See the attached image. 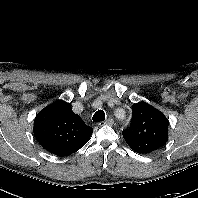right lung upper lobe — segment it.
Returning a JSON list of instances; mask_svg holds the SVG:
<instances>
[{
	"instance_id": "cb5924a9",
	"label": "right lung upper lobe",
	"mask_w": 198,
	"mask_h": 198,
	"mask_svg": "<svg viewBox=\"0 0 198 198\" xmlns=\"http://www.w3.org/2000/svg\"><path fill=\"white\" fill-rule=\"evenodd\" d=\"M33 132L44 149L68 156L89 140L93 129L72 111L70 103L58 100L37 114Z\"/></svg>"
}]
</instances>
